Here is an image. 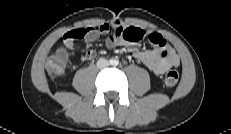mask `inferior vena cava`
<instances>
[{
	"label": "inferior vena cava",
	"mask_w": 231,
	"mask_h": 134,
	"mask_svg": "<svg viewBox=\"0 0 231 134\" xmlns=\"http://www.w3.org/2000/svg\"><path fill=\"white\" fill-rule=\"evenodd\" d=\"M108 65H109V62L105 58H100L97 61V67L100 69L106 68Z\"/></svg>",
	"instance_id": "obj_1"
}]
</instances>
